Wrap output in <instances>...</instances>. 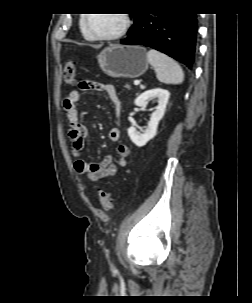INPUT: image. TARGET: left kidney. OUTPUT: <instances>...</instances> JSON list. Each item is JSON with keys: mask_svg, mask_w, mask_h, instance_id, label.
<instances>
[{"mask_svg": "<svg viewBox=\"0 0 252 303\" xmlns=\"http://www.w3.org/2000/svg\"><path fill=\"white\" fill-rule=\"evenodd\" d=\"M169 91L161 88H155L140 94L134 101L136 106L145 107L149 99L157 98L158 105L155 111L151 114L150 121L145 130L137 129L133 126L128 128V135L131 141L138 147L146 145L148 141L155 137L160 120L163 118L166 105L169 100Z\"/></svg>", "mask_w": 252, "mask_h": 303, "instance_id": "5707ae66", "label": "left kidney"}]
</instances>
